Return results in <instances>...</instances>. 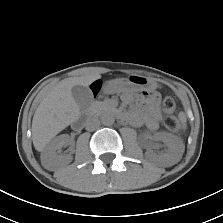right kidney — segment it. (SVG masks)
<instances>
[{"instance_id":"right-kidney-1","label":"right kidney","mask_w":223,"mask_h":223,"mask_svg":"<svg viewBox=\"0 0 223 223\" xmlns=\"http://www.w3.org/2000/svg\"><path fill=\"white\" fill-rule=\"evenodd\" d=\"M69 142V136L62 134L53 139L41 154V162L47 169H53L58 165H66L72 161L71 155H60L63 146Z\"/></svg>"}]
</instances>
